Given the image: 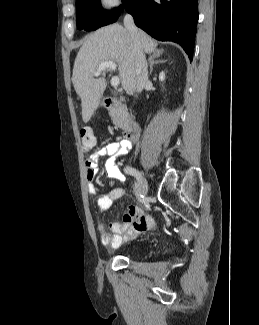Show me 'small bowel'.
<instances>
[{"instance_id":"c3829d8e","label":"small bowel","mask_w":259,"mask_h":325,"mask_svg":"<svg viewBox=\"0 0 259 325\" xmlns=\"http://www.w3.org/2000/svg\"><path fill=\"white\" fill-rule=\"evenodd\" d=\"M132 147L133 141L122 140L120 142H111L99 148L86 159L87 189L91 195H96L98 192L94 179L98 173L99 159L106 157L104 163L106 177L113 182L122 183L125 180V176L117 165V159ZM125 196V189L116 187L108 193L100 195L97 204L104 211L110 208L114 201L123 199ZM153 224L154 220L151 216L145 215L138 207L129 205L127 211L122 216V222H113L110 224V232L107 231L105 225L102 223L98 224L97 230L103 246L107 249H116L125 242L138 236L141 232L152 227Z\"/></svg>"}]
</instances>
